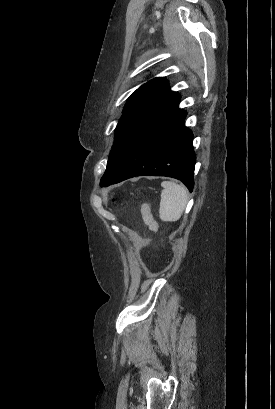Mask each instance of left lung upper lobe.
Instances as JSON below:
<instances>
[{"label": "left lung upper lobe", "mask_w": 275, "mask_h": 409, "mask_svg": "<svg viewBox=\"0 0 275 409\" xmlns=\"http://www.w3.org/2000/svg\"><path fill=\"white\" fill-rule=\"evenodd\" d=\"M179 102L164 78L140 86L129 98L115 130V140L100 186H108L119 173L130 150L145 132Z\"/></svg>", "instance_id": "left-lung-upper-lobe-1"}]
</instances>
